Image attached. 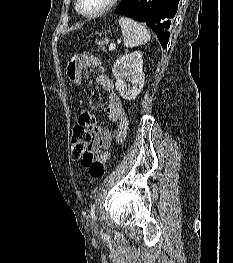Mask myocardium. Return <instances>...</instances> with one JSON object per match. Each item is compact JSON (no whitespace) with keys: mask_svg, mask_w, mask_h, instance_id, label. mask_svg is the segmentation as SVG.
<instances>
[{"mask_svg":"<svg viewBox=\"0 0 233 263\" xmlns=\"http://www.w3.org/2000/svg\"><path fill=\"white\" fill-rule=\"evenodd\" d=\"M118 1L119 0H108L105 6L99 9L98 11L93 12V13H86L81 9V0H76V10L83 17L96 18L110 11L117 4Z\"/></svg>","mask_w":233,"mask_h":263,"instance_id":"1","label":"myocardium"}]
</instances>
